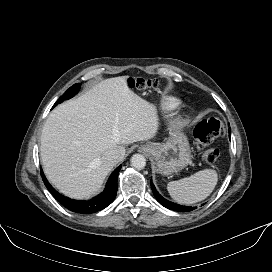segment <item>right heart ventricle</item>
Here are the masks:
<instances>
[{
    "mask_svg": "<svg viewBox=\"0 0 272 272\" xmlns=\"http://www.w3.org/2000/svg\"><path fill=\"white\" fill-rule=\"evenodd\" d=\"M180 105V100L176 97H166L162 102V108L170 111L177 108Z\"/></svg>",
    "mask_w": 272,
    "mask_h": 272,
    "instance_id": "e07e8e85",
    "label": "right heart ventricle"
}]
</instances>
